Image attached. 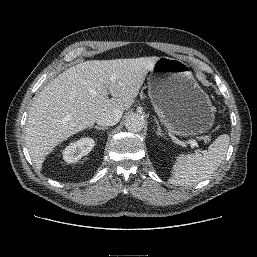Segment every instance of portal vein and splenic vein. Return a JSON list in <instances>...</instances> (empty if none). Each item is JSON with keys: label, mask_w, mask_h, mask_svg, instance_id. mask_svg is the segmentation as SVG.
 Here are the masks:
<instances>
[{"label": "portal vein and splenic vein", "mask_w": 257, "mask_h": 257, "mask_svg": "<svg viewBox=\"0 0 257 257\" xmlns=\"http://www.w3.org/2000/svg\"><path fill=\"white\" fill-rule=\"evenodd\" d=\"M189 144L190 146L193 148V147H196L198 148V151L202 152V153H205L206 151L205 150H202L201 148H199V145L197 144V142L194 140V139H191L189 140Z\"/></svg>", "instance_id": "1"}]
</instances>
